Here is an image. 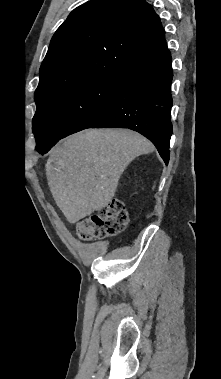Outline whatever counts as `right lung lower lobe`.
<instances>
[{
    "instance_id": "obj_1",
    "label": "right lung lower lobe",
    "mask_w": 221,
    "mask_h": 379,
    "mask_svg": "<svg viewBox=\"0 0 221 379\" xmlns=\"http://www.w3.org/2000/svg\"><path fill=\"white\" fill-rule=\"evenodd\" d=\"M173 71L168 49L120 74L113 99L105 113L90 128L118 127L147 137L166 164L169 162L171 82ZM63 138V137H62ZM45 149L46 153L58 140Z\"/></svg>"
}]
</instances>
